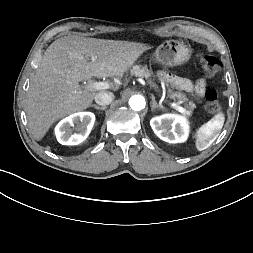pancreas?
Here are the masks:
<instances>
[{"mask_svg":"<svg viewBox=\"0 0 253 253\" xmlns=\"http://www.w3.org/2000/svg\"><path fill=\"white\" fill-rule=\"evenodd\" d=\"M130 72H131V75H135L137 77L146 78V79L153 76V72L149 70L147 66L135 65L132 67ZM157 75L161 82L165 83L167 87H170L168 89V96L170 99H173L175 101L177 100L180 103H188L186 105L188 109L186 114L190 115L192 113V110L195 108V104L192 101H189L184 93L173 90L175 88V85L172 84L171 82L173 81L174 77L170 76L165 71H160L157 73ZM169 83H171V86H169Z\"/></svg>","mask_w":253,"mask_h":253,"instance_id":"1","label":"pancreas"}]
</instances>
